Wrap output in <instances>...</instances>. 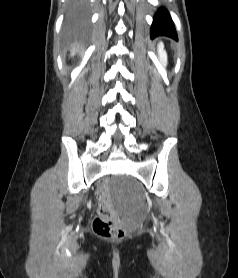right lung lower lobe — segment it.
Returning a JSON list of instances; mask_svg holds the SVG:
<instances>
[{
    "label": "right lung lower lobe",
    "mask_w": 238,
    "mask_h": 278,
    "mask_svg": "<svg viewBox=\"0 0 238 278\" xmlns=\"http://www.w3.org/2000/svg\"><path fill=\"white\" fill-rule=\"evenodd\" d=\"M87 20L86 0H72L69 24L78 26Z\"/></svg>",
    "instance_id": "obj_1"
}]
</instances>
